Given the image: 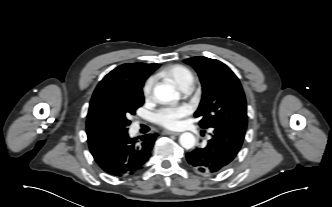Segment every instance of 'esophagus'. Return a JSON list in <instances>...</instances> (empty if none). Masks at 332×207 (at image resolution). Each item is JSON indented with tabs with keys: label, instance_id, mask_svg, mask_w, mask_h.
Here are the masks:
<instances>
[{
	"label": "esophagus",
	"instance_id": "obj_1",
	"mask_svg": "<svg viewBox=\"0 0 332 207\" xmlns=\"http://www.w3.org/2000/svg\"><path fill=\"white\" fill-rule=\"evenodd\" d=\"M162 134H164V135H179L180 133L179 132H174V131H169V130H164L162 132Z\"/></svg>",
	"mask_w": 332,
	"mask_h": 207
}]
</instances>
